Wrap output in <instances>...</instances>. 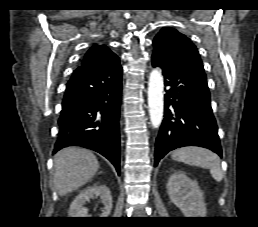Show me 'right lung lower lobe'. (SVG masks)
I'll use <instances>...</instances> for the list:
<instances>
[{"instance_id":"1","label":"right lung lower lobe","mask_w":258,"mask_h":227,"mask_svg":"<svg viewBox=\"0 0 258 227\" xmlns=\"http://www.w3.org/2000/svg\"><path fill=\"white\" fill-rule=\"evenodd\" d=\"M122 68L114 54L75 70L67 83L54 153L81 146L105 156L120 175Z\"/></svg>"}]
</instances>
